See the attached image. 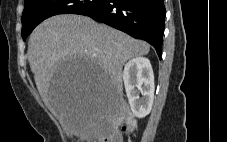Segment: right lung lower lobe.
Instances as JSON below:
<instances>
[{"mask_svg":"<svg viewBox=\"0 0 227 142\" xmlns=\"http://www.w3.org/2000/svg\"><path fill=\"white\" fill-rule=\"evenodd\" d=\"M78 14L147 41L161 57L166 14L163 0H105Z\"/></svg>","mask_w":227,"mask_h":142,"instance_id":"1","label":"right lung lower lobe"}]
</instances>
